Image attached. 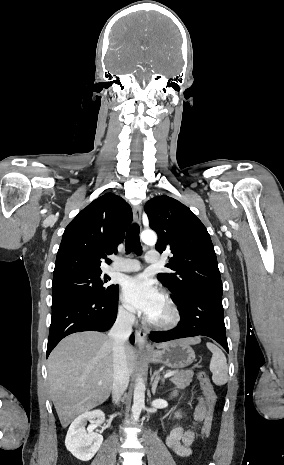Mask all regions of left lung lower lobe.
<instances>
[{"label":"left lung lower lobe","mask_w":284,"mask_h":465,"mask_svg":"<svg viewBox=\"0 0 284 465\" xmlns=\"http://www.w3.org/2000/svg\"><path fill=\"white\" fill-rule=\"evenodd\" d=\"M179 304L181 321L167 332H153V342H165L178 338L208 336L216 340L227 352L222 296L207 292H192L173 300Z\"/></svg>","instance_id":"0a47b994"}]
</instances>
